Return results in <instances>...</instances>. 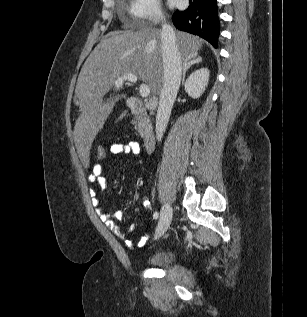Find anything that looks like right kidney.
<instances>
[{
  "label": "right kidney",
  "instance_id": "right-kidney-1",
  "mask_svg": "<svg viewBox=\"0 0 307 317\" xmlns=\"http://www.w3.org/2000/svg\"><path fill=\"white\" fill-rule=\"evenodd\" d=\"M209 75L207 68H200L188 77L184 88L190 97L197 99L203 94L209 81Z\"/></svg>",
  "mask_w": 307,
  "mask_h": 317
}]
</instances>
